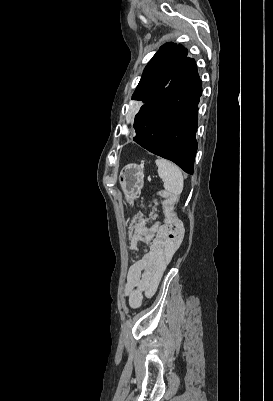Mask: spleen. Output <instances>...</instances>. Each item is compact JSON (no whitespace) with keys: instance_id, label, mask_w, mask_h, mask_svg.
I'll list each match as a JSON object with an SVG mask.
<instances>
[{"instance_id":"1","label":"spleen","mask_w":273,"mask_h":401,"mask_svg":"<svg viewBox=\"0 0 273 401\" xmlns=\"http://www.w3.org/2000/svg\"><path fill=\"white\" fill-rule=\"evenodd\" d=\"M155 162L158 166V174L164 180L165 190L179 196L184 186V178L179 166L165 158H157Z\"/></svg>"}]
</instances>
